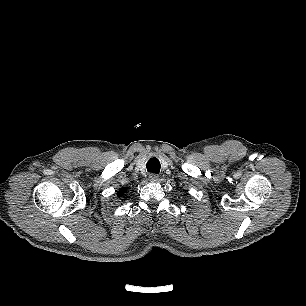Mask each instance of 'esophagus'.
I'll return each mask as SVG.
<instances>
[{
	"mask_svg": "<svg viewBox=\"0 0 306 306\" xmlns=\"http://www.w3.org/2000/svg\"><path fill=\"white\" fill-rule=\"evenodd\" d=\"M149 180L151 182H157L159 180V176L157 174H150L149 175Z\"/></svg>",
	"mask_w": 306,
	"mask_h": 306,
	"instance_id": "esophagus-1",
	"label": "esophagus"
}]
</instances>
